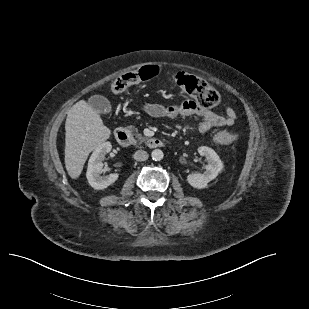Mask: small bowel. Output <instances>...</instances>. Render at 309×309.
I'll return each mask as SVG.
<instances>
[{
	"label": "small bowel",
	"instance_id": "c3829d8e",
	"mask_svg": "<svg viewBox=\"0 0 309 309\" xmlns=\"http://www.w3.org/2000/svg\"><path fill=\"white\" fill-rule=\"evenodd\" d=\"M142 110L151 117L169 119H175L179 116H197L201 118L198 124V130L201 133H206L216 127L232 126L237 119L235 111L230 106L225 105L224 113L218 114L201 108L193 100H186L180 104L169 106L147 103L143 105Z\"/></svg>",
	"mask_w": 309,
	"mask_h": 309
}]
</instances>
